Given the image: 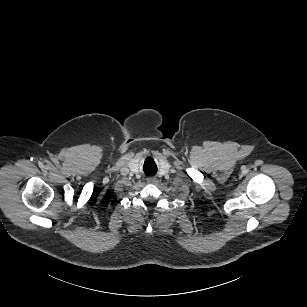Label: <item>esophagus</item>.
<instances>
[{
  "label": "esophagus",
  "mask_w": 307,
  "mask_h": 307,
  "mask_svg": "<svg viewBox=\"0 0 307 307\" xmlns=\"http://www.w3.org/2000/svg\"><path fill=\"white\" fill-rule=\"evenodd\" d=\"M146 182L148 184H157L159 182L158 178L154 177V176H150L147 178Z\"/></svg>",
  "instance_id": "1"
}]
</instances>
